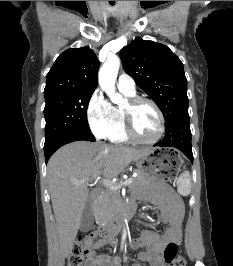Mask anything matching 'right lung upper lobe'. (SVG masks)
Segmentation results:
<instances>
[{
  "label": "right lung upper lobe",
  "instance_id": "right-lung-upper-lobe-1",
  "mask_svg": "<svg viewBox=\"0 0 233 266\" xmlns=\"http://www.w3.org/2000/svg\"><path fill=\"white\" fill-rule=\"evenodd\" d=\"M99 62L89 47L71 48L63 52L47 74L45 97L78 91H94L97 87Z\"/></svg>",
  "mask_w": 233,
  "mask_h": 266
}]
</instances>
